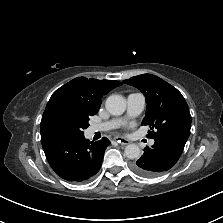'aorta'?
<instances>
[{"instance_id":"1","label":"aorta","mask_w":223,"mask_h":223,"mask_svg":"<svg viewBox=\"0 0 223 223\" xmlns=\"http://www.w3.org/2000/svg\"><path fill=\"white\" fill-rule=\"evenodd\" d=\"M107 111L112 115H121L126 109V101L121 95H110L105 103ZM125 156L128 159H138L141 155V150L136 144H129L124 150Z\"/></svg>"}]
</instances>
